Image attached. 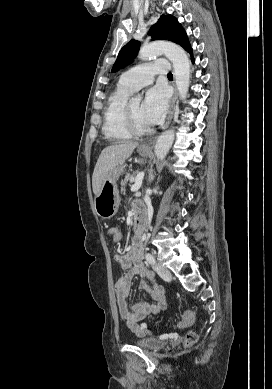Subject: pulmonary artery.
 <instances>
[{
  "label": "pulmonary artery",
  "mask_w": 272,
  "mask_h": 389,
  "mask_svg": "<svg viewBox=\"0 0 272 389\" xmlns=\"http://www.w3.org/2000/svg\"><path fill=\"white\" fill-rule=\"evenodd\" d=\"M169 68V62L165 59L139 64L125 72L120 77L119 83L132 91H137L150 84L156 74L168 73Z\"/></svg>",
  "instance_id": "e3ab8cb5"
}]
</instances>
